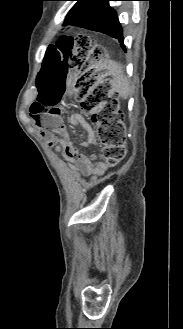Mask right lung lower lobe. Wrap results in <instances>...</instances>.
Returning a JSON list of instances; mask_svg holds the SVG:
<instances>
[{
  "label": "right lung lower lobe",
  "mask_w": 183,
  "mask_h": 329,
  "mask_svg": "<svg viewBox=\"0 0 183 329\" xmlns=\"http://www.w3.org/2000/svg\"><path fill=\"white\" fill-rule=\"evenodd\" d=\"M76 1L65 22L116 38L125 50L122 28L115 10L109 6L110 0Z\"/></svg>",
  "instance_id": "right-lung-lower-lobe-1"
}]
</instances>
